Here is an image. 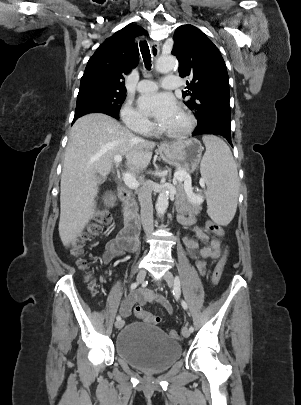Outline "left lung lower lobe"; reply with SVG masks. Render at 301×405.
Masks as SVG:
<instances>
[{"label": "left lung lower lobe", "instance_id": "obj_1", "mask_svg": "<svg viewBox=\"0 0 301 405\" xmlns=\"http://www.w3.org/2000/svg\"><path fill=\"white\" fill-rule=\"evenodd\" d=\"M193 135H216L222 136L227 139L231 144V125L220 122V121H211L206 124L197 125V128L193 132Z\"/></svg>", "mask_w": 301, "mask_h": 405}]
</instances>
